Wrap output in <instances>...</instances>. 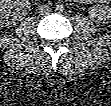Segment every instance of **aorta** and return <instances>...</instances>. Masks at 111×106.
Returning <instances> with one entry per match:
<instances>
[{
    "label": "aorta",
    "mask_w": 111,
    "mask_h": 106,
    "mask_svg": "<svg viewBox=\"0 0 111 106\" xmlns=\"http://www.w3.org/2000/svg\"><path fill=\"white\" fill-rule=\"evenodd\" d=\"M55 9H56V11H62L63 6L62 5H56Z\"/></svg>",
    "instance_id": "obj_1"
}]
</instances>
